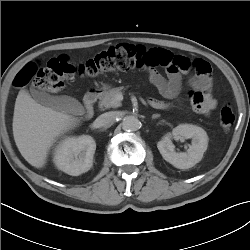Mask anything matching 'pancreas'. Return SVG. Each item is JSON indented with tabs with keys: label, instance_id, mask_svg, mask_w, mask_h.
<instances>
[{
	"label": "pancreas",
	"instance_id": "obj_1",
	"mask_svg": "<svg viewBox=\"0 0 250 250\" xmlns=\"http://www.w3.org/2000/svg\"><path fill=\"white\" fill-rule=\"evenodd\" d=\"M123 87H117L106 92L100 99L99 105L101 108H116L120 106V102H117L115 97L122 94Z\"/></svg>",
	"mask_w": 250,
	"mask_h": 250
}]
</instances>
